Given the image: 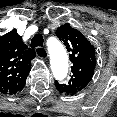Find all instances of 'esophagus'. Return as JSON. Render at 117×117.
I'll return each instance as SVG.
<instances>
[{"label": "esophagus", "instance_id": "34e87169", "mask_svg": "<svg viewBox=\"0 0 117 117\" xmlns=\"http://www.w3.org/2000/svg\"><path fill=\"white\" fill-rule=\"evenodd\" d=\"M38 48L40 49V51L37 50ZM38 48L36 49L37 56L41 59H47L48 52H47L46 48H44V47H38Z\"/></svg>", "mask_w": 117, "mask_h": 117}]
</instances>
